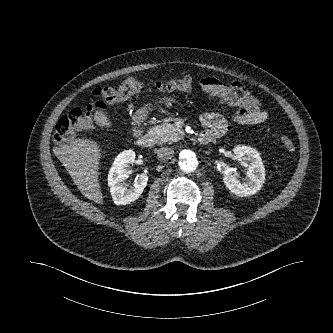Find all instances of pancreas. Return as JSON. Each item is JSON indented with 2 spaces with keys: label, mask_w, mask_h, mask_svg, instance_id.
<instances>
[{
  "label": "pancreas",
  "mask_w": 333,
  "mask_h": 333,
  "mask_svg": "<svg viewBox=\"0 0 333 333\" xmlns=\"http://www.w3.org/2000/svg\"><path fill=\"white\" fill-rule=\"evenodd\" d=\"M152 132L155 134L157 141L161 143L167 142L170 144L172 142H177L184 137V132L180 128H177L175 125L168 122L155 126L152 129Z\"/></svg>",
  "instance_id": "pancreas-1"
}]
</instances>
